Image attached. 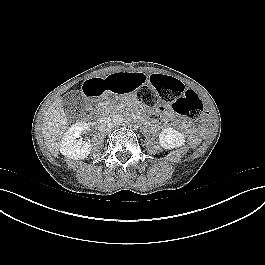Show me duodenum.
<instances>
[{"label": "duodenum", "mask_w": 265, "mask_h": 265, "mask_svg": "<svg viewBox=\"0 0 265 265\" xmlns=\"http://www.w3.org/2000/svg\"><path fill=\"white\" fill-rule=\"evenodd\" d=\"M134 120L137 121V122H142V121H141L139 118H137V117H135Z\"/></svg>", "instance_id": "obj_1"}]
</instances>
